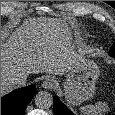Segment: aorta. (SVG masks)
<instances>
[{
	"instance_id": "762f6f07",
	"label": "aorta",
	"mask_w": 115,
	"mask_h": 115,
	"mask_svg": "<svg viewBox=\"0 0 115 115\" xmlns=\"http://www.w3.org/2000/svg\"><path fill=\"white\" fill-rule=\"evenodd\" d=\"M35 104L41 109L50 108L53 105V97L46 91H41L35 96Z\"/></svg>"
}]
</instances>
